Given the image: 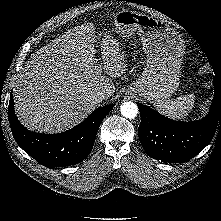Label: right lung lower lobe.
I'll return each instance as SVG.
<instances>
[{
    "label": "right lung lower lobe",
    "mask_w": 221,
    "mask_h": 221,
    "mask_svg": "<svg viewBox=\"0 0 221 221\" xmlns=\"http://www.w3.org/2000/svg\"><path fill=\"white\" fill-rule=\"evenodd\" d=\"M113 105L98 108L74 128L58 134H40L27 130L17 119L10 96L8 117L17 144L46 167H64L84 160L91 152L98 128Z\"/></svg>",
    "instance_id": "right-lung-lower-lobe-1"
}]
</instances>
